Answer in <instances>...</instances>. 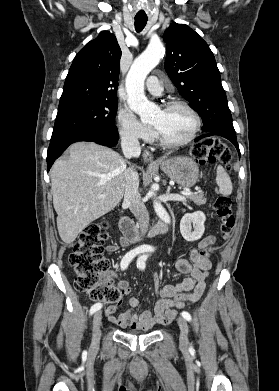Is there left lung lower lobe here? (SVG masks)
Returning a JSON list of instances; mask_svg holds the SVG:
<instances>
[{
    "label": "left lung lower lobe",
    "mask_w": 279,
    "mask_h": 391,
    "mask_svg": "<svg viewBox=\"0 0 279 391\" xmlns=\"http://www.w3.org/2000/svg\"><path fill=\"white\" fill-rule=\"evenodd\" d=\"M212 135H219V136L225 137L226 139L230 140L234 144V146L237 148L239 155H240L236 134H227V133H222V132H211V133H207V134L200 136L199 138L195 139V141H198L201 138L212 136Z\"/></svg>",
    "instance_id": "obj_1"
}]
</instances>
